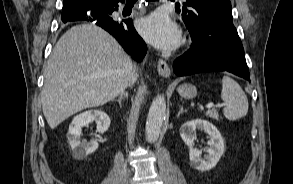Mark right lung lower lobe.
I'll return each mask as SVG.
<instances>
[{
    "label": "right lung lower lobe",
    "mask_w": 293,
    "mask_h": 184,
    "mask_svg": "<svg viewBox=\"0 0 293 184\" xmlns=\"http://www.w3.org/2000/svg\"><path fill=\"white\" fill-rule=\"evenodd\" d=\"M119 2H123V0L112 1L106 5L80 11L73 16L62 19V21L64 23L76 20L94 22L96 25L112 34L125 51L132 55L135 60L141 61L146 54L147 46L134 29L132 20L117 21L111 17L112 12L118 10Z\"/></svg>",
    "instance_id": "1"
}]
</instances>
